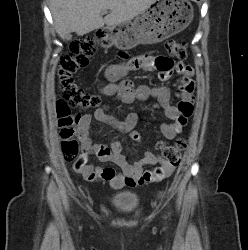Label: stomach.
<instances>
[{"label": "stomach", "instance_id": "0dacf381", "mask_svg": "<svg viewBox=\"0 0 248 250\" xmlns=\"http://www.w3.org/2000/svg\"><path fill=\"white\" fill-rule=\"evenodd\" d=\"M193 16V6L188 0H157L155 6L134 21L107 27L102 40L120 50L156 44L184 30Z\"/></svg>", "mask_w": 248, "mask_h": 250}]
</instances>
